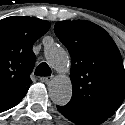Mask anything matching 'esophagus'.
<instances>
[{
    "label": "esophagus",
    "mask_w": 125,
    "mask_h": 125,
    "mask_svg": "<svg viewBox=\"0 0 125 125\" xmlns=\"http://www.w3.org/2000/svg\"><path fill=\"white\" fill-rule=\"evenodd\" d=\"M52 80H53V77H41L40 78V81L43 83H49Z\"/></svg>",
    "instance_id": "34e87169"
}]
</instances>
